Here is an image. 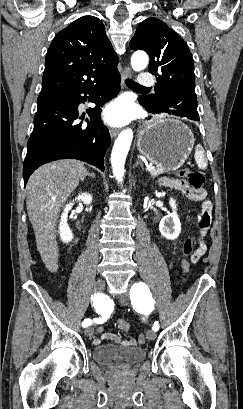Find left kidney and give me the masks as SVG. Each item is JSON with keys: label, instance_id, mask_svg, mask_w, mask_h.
I'll use <instances>...</instances> for the list:
<instances>
[{"label": "left kidney", "instance_id": "left-kidney-1", "mask_svg": "<svg viewBox=\"0 0 243 409\" xmlns=\"http://www.w3.org/2000/svg\"><path fill=\"white\" fill-rule=\"evenodd\" d=\"M169 204L173 210L172 213L164 216L159 224V230L163 237L169 240H175L181 232V223L177 215V204L173 198H170Z\"/></svg>", "mask_w": 243, "mask_h": 409}]
</instances>
